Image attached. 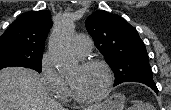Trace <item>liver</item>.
I'll use <instances>...</instances> for the list:
<instances>
[{
    "instance_id": "1",
    "label": "liver",
    "mask_w": 171,
    "mask_h": 110,
    "mask_svg": "<svg viewBox=\"0 0 171 110\" xmlns=\"http://www.w3.org/2000/svg\"><path fill=\"white\" fill-rule=\"evenodd\" d=\"M97 104L88 107L92 110ZM0 110H65L46 91L43 78L34 70L9 67L0 71Z\"/></svg>"
}]
</instances>
